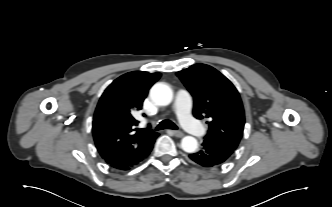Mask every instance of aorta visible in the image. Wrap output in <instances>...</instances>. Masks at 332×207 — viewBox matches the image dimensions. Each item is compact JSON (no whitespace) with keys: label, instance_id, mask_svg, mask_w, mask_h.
Instances as JSON below:
<instances>
[{"label":"aorta","instance_id":"obj_1","mask_svg":"<svg viewBox=\"0 0 332 207\" xmlns=\"http://www.w3.org/2000/svg\"><path fill=\"white\" fill-rule=\"evenodd\" d=\"M150 97L157 105L166 106L171 103L173 92L167 84L159 82L151 88ZM181 148L187 153H193L198 148V142L192 136H185L181 140Z\"/></svg>","mask_w":332,"mask_h":207}]
</instances>
